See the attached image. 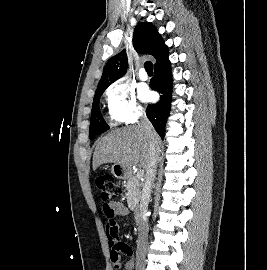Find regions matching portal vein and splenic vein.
Returning a JSON list of instances; mask_svg holds the SVG:
<instances>
[{
  "mask_svg": "<svg viewBox=\"0 0 267 270\" xmlns=\"http://www.w3.org/2000/svg\"><path fill=\"white\" fill-rule=\"evenodd\" d=\"M143 176H144V170H141V169H140V170L137 172L136 177L140 179V178H142Z\"/></svg>",
  "mask_w": 267,
  "mask_h": 270,
  "instance_id": "portal-vein-and-splenic-vein-1",
  "label": "portal vein and splenic vein"
}]
</instances>
